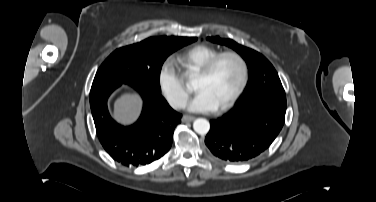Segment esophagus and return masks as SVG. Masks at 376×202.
Masks as SVG:
<instances>
[{"instance_id": "obj_1", "label": "esophagus", "mask_w": 376, "mask_h": 202, "mask_svg": "<svg viewBox=\"0 0 376 202\" xmlns=\"http://www.w3.org/2000/svg\"><path fill=\"white\" fill-rule=\"evenodd\" d=\"M194 119H195L194 116L184 115V116L182 117V122H191V121H193Z\"/></svg>"}]
</instances>
